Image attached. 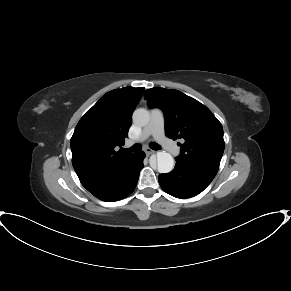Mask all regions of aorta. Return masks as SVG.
Here are the masks:
<instances>
[{
  "mask_svg": "<svg viewBox=\"0 0 291 291\" xmlns=\"http://www.w3.org/2000/svg\"><path fill=\"white\" fill-rule=\"evenodd\" d=\"M150 114L144 108L136 109L133 113V122L138 126L149 123ZM174 168V159L170 153L165 151L157 153V169L159 173H169Z\"/></svg>",
  "mask_w": 291,
  "mask_h": 291,
  "instance_id": "obj_1",
  "label": "aorta"
}]
</instances>
